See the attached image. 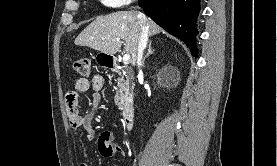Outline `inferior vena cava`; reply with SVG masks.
Listing matches in <instances>:
<instances>
[{
	"label": "inferior vena cava",
	"instance_id": "602c4592",
	"mask_svg": "<svg viewBox=\"0 0 277 166\" xmlns=\"http://www.w3.org/2000/svg\"><path fill=\"white\" fill-rule=\"evenodd\" d=\"M138 19L141 21V37L138 45V54H137V64L140 67L142 65L143 52L146 48L148 41V26L144 25L143 22L146 20L145 15L139 13L137 14Z\"/></svg>",
	"mask_w": 277,
	"mask_h": 166
}]
</instances>
